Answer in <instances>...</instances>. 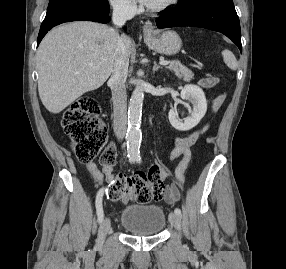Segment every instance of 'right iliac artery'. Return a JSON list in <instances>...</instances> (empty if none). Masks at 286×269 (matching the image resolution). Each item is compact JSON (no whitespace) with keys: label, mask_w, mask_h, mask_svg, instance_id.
<instances>
[{"label":"right iliac artery","mask_w":286,"mask_h":269,"mask_svg":"<svg viewBox=\"0 0 286 269\" xmlns=\"http://www.w3.org/2000/svg\"><path fill=\"white\" fill-rule=\"evenodd\" d=\"M130 162H134V159L131 158ZM104 190H105V188L103 187L98 191V193L96 195V201H95L99 223H101L103 221V218H104V211H103V207H102V198H103Z\"/></svg>","instance_id":"1"}]
</instances>
